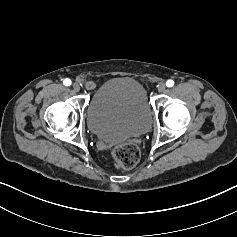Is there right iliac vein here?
<instances>
[{
  "label": "right iliac vein",
  "mask_w": 237,
  "mask_h": 237,
  "mask_svg": "<svg viewBox=\"0 0 237 237\" xmlns=\"http://www.w3.org/2000/svg\"><path fill=\"white\" fill-rule=\"evenodd\" d=\"M74 91L78 92L80 90V85L78 83L73 84Z\"/></svg>",
  "instance_id": "63e3f726"
}]
</instances>
